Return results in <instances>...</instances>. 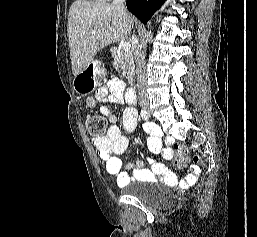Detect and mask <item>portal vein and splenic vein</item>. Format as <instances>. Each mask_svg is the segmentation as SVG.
Returning <instances> with one entry per match:
<instances>
[{
	"label": "portal vein and splenic vein",
	"instance_id": "portal-vein-and-splenic-vein-1",
	"mask_svg": "<svg viewBox=\"0 0 257 237\" xmlns=\"http://www.w3.org/2000/svg\"><path fill=\"white\" fill-rule=\"evenodd\" d=\"M93 33H95V31ZM130 48H131L130 43H123L122 44V52H128V51H130Z\"/></svg>",
	"mask_w": 257,
	"mask_h": 237
}]
</instances>
